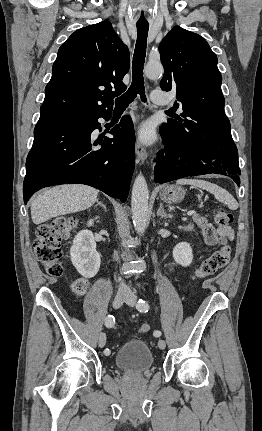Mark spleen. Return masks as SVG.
Here are the masks:
<instances>
[{
    "instance_id": "obj_1",
    "label": "spleen",
    "mask_w": 262,
    "mask_h": 431,
    "mask_svg": "<svg viewBox=\"0 0 262 431\" xmlns=\"http://www.w3.org/2000/svg\"><path fill=\"white\" fill-rule=\"evenodd\" d=\"M176 183L180 185H192V186L199 187L200 189H203L212 193L219 202L227 205L229 209L236 210L238 208V203L235 200V198L228 191H226L225 189H223L222 187L214 183L201 180V179H186V178L179 179L177 180Z\"/></svg>"
}]
</instances>
